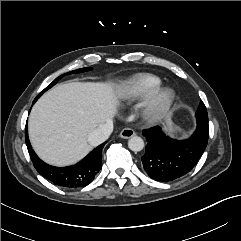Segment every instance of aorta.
<instances>
[{
	"label": "aorta",
	"instance_id": "1",
	"mask_svg": "<svg viewBox=\"0 0 241 241\" xmlns=\"http://www.w3.org/2000/svg\"><path fill=\"white\" fill-rule=\"evenodd\" d=\"M128 147L134 152H139L144 148V141L139 136H133L128 141Z\"/></svg>",
	"mask_w": 241,
	"mask_h": 241
}]
</instances>
